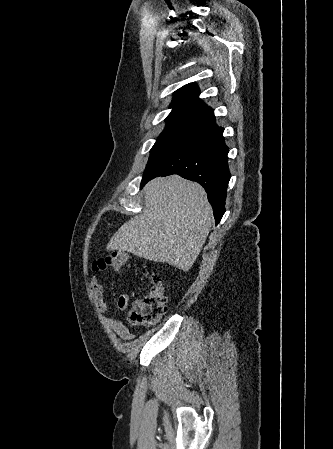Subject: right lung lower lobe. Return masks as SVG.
<instances>
[{"label": "right lung lower lobe", "mask_w": 333, "mask_h": 449, "mask_svg": "<svg viewBox=\"0 0 333 449\" xmlns=\"http://www.w3.org/2000/svg\"><path fill=\"white\" fill-rule=\"evenodd\" d=\"M223 131L215 124L196 134L144 175L141 188L157 176L171 174L196 181L208 193L218 224L225 212L226 190L231 177L227 157L229 149Z\"/></svg>", "instance_id": "right-lung-lower-lobe-1"}]
</instances>
